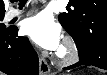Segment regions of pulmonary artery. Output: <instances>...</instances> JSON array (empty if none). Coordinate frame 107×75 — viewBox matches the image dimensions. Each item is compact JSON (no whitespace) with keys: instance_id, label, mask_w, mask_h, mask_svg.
Wrapping results in <instances>:
<instances>
[{"instance_id":"1","label":"pulmonary artery","mask_w":107,"mask_h":75,"mask_svg":"<svg viewBox=\"0 0 107 75\" xmlns=\"http://www.w3.org/2000/svg\"><path fill=\"white\" fill-rule=\"evenodd\" d=\"M23 11L24 9H10L7 13V18L12 19L16 16H19Z\"/></svg>"}]
</instances>
